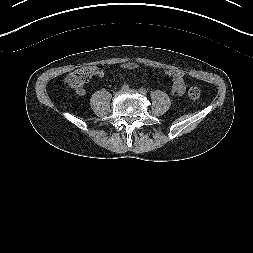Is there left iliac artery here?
Instances as JSON below:
<instances>
[{"instance_id":"44dca946","label":"left iliac artery","mask_w":253,"mask_h":253,"mask_svg":"<svg viewBox=\"0 0 253 253\" xmlns=\"http://www.w3.org/2000/svg\"><path fill=\"white\" fill-rule=\"evenodd\" d=\"M139 92H140L142 95H146V94H147V91H146V89H144V88H141V89L139 90Z\"/></svg>"}]
</instances>
